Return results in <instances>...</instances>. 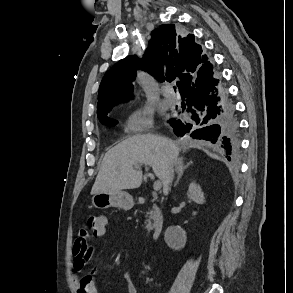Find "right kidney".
<instances>
[{"mask_svg": "<svg viewBox=\"0 0 293 293\" xmlns=\"http://www.w3.org/2000/svg\"><path fill=\"white\" fill-rule=\"evenodd\" d=\"M187 195L197 204L205 203L201 187L194 182L190 184ZM164 239L169 247L179 249L184 246L186 242V235L180 228H169L165 232Z\"/></svg>", "mask_w": 293, "mask_h": 293, "instance_id": "right-kidney-1", "label": "right kidney"}]
</instances>
